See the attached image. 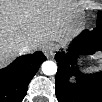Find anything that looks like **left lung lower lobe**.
Returning a JSON list of instances; mask_svg holds the SVG:
<instances>
[{
    "instance_id": "1",
    "label": "left lung lower lobe",
    "mask_w": 102,
    "mask_h": 102,
    "mask_svg": "<svg viewBox=\"0 0 102 102\" xmlns=\"http://www.w3.org/2000/svg\"><path fill=\"white\" fill-rule=\"evenodd\" d=\"M102 50V29L85 31L73 42L65 54L57 52L59 63L55 77V94L59 102H100L102 100V72L82 74L76 66L78 54H93ZM74 76V81L71 77Z\"/></svg>"
}]
</instances>
